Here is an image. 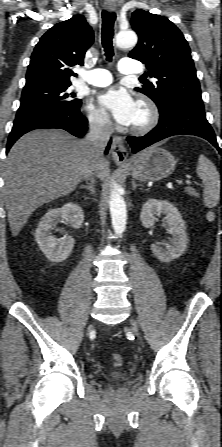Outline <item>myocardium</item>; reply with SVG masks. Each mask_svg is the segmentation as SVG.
Listing matches in <instances>:
<instances>
[{"instance_id": "myocardium-1", "label": "myocardium", "mask_w": 222, "mask_h": 447, "mask_svg": "<svg viewBox=\"0 0 222 447\" xmlns=\"http://www.w3.org/2000/svg\"><path fill=\"white\" fill-rule=\"evenodd\" d=\"M137 107L143 112V118L140 122L132 125L131 131L135 134H144L157 125L159 121V110L155 103L148 98L139 99Z\"/></svg>"}]
</instances>
